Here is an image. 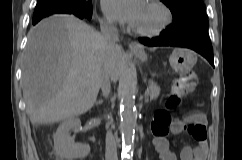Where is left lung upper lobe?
I'll list each match as a JSON object with an SVG mask.
<instances>
[{
	"label": "left lung upper lobe",
	"mask_w": 242,
	"mask_h": 160,
	"mask_svg": "<svg viewBox=\"0 0 242 160\" xmlns=\"http://www.w3.org/2000/svg\"><path fill=\"white\" fill-rule=\"evenodd\" d=\"M171 10L173 23L165 30L171 35L180 34L195 27H208L202 0H161Z\"/></svg>",
	"instance_id": "obj_1"
}]
</instances>
